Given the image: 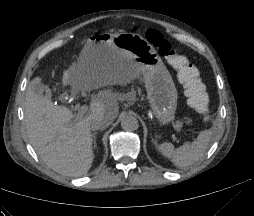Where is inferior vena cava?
<instances>
[{
	"label": "inferior vena cava",
	"instance_id": "inferior-vena-cava-1",
	"mask_svg": "<svg viewBox=\"0 0 254 216\" xmlns=\"http://www.w3.org/2000/svg\"><path fill=\"white\" fill-rule=\"evenodd\" d=\"M110 121L104 116H93L89 121V127L91 130H104L110 125Z\"/></svg>",
	"mask_w": 254,
	"mask_h": 216
}]
</instances>
